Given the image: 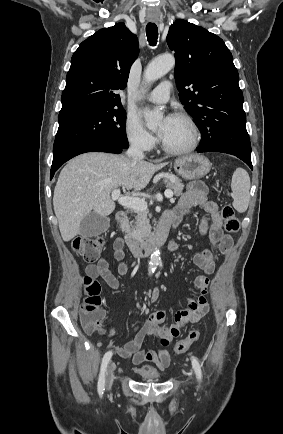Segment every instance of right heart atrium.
Wrapping results in <instances>:
<instances>
[{
	"mask_svg": "<svg viewBox=\"0 0 283 434\" xmlns=\"http://www.w3.org/2000/svg\"><path fill=\"white\" fill-rule=\"evenodd\" d=\"M125 134L129 144L142 151L151 150L156 139L142 125L141 121L133 115H129L125 121Z\"/></svg>",
	"mask_w": 283,
	"mask_h": 434,
	"instance_id": "d8ad5b80",
	"label": "right heart atrium"
}]
</instances>
